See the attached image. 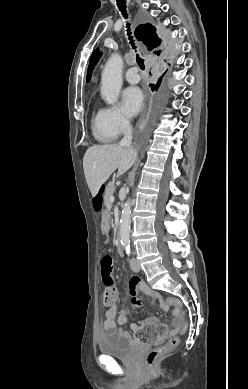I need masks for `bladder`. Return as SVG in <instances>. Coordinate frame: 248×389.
Here are the masks:
<instances>
[{"label":"bladder","instance_id":"obj_1","mask_svg":"<svg viewBox=\"0 0 248 389\" xmlns=\"http://www.w3.org/2000/svg\"><path fill=\"white\" fill-rule=\"evenodd\" d=\"M98 348L103 355L119 359H130L137 350V344L130 340V338L118 333H113L101 338Z\"/></svg>","mask_w":248,"mask_h":389}]
</instances>
